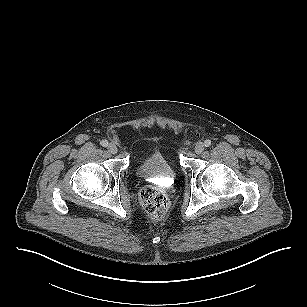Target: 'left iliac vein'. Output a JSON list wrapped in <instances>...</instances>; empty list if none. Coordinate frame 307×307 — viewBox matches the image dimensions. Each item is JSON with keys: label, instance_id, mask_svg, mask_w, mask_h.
Listing matches in <instances>:
<instances>
[{"label": "left iliac vein", "instance_id": "obj_1", "mask_svg": "<svg viewBox=\"0 0 307 307\" xmlns=\"http://www.w3.org/2000/svg\"><path fill=\"white\" fill-rule=\"evenodd\" d=\"M194 151L196 154H201L204 151V144L202 142H197Z\"/></svg>", "mask_w": 307, "mask_h": 307}]
</instances>
